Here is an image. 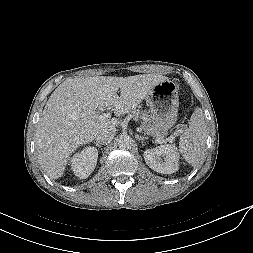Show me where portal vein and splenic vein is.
Masks as SVG:
<instances>
[{
    "instance_id": "portal-vein-and-splenic-vein-1",
    "label": "portal vein and splenic vein",
    "mask_w": 253,
    "mask_h": 253,
    "mask_svg": "<svg viewBox=\"0 0 253 253\" xmlns=\"http://www.w3.org/2000/svg\"><path fill=\"white\" fill-rule=\"evenodd\" d=\"M108 118H110V114L109 113H103V114H101V115L98 116L99 120H105V119H108ZM166 140L169 141V142H172L174 140V137L170 136Z\"/></svg>"
}]
</instances>
